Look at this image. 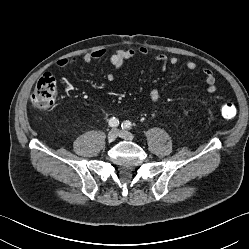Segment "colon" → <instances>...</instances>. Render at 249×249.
<instances>
[{"label": "colon", "mask_w": 249, "mask_h": 249, "mask_svg": "<svg viewBox=\"0 0 249 249\" xmlns=\"http://www.w3.org/2000/svg\"><path fill=\"white\" fill-rule=\"evenodd\" d=\"M56 80L53 75L46 73L37 81L32 93L33 106L42 111L50 110L55 103ZM236 113V109L231 104H224L221 107V114L224 118L230 119Z\"/></svg>", "instance_id": "colon-1"}]
</instances>
